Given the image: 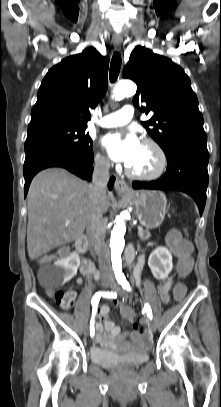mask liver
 <instances>
[{
    "instance_id": "1",
    "label": "liver",
    "mask_w": 221,
    "mask_h": 407,
    "mask_svg": "<svg viewBox=\"0 0 221 407\" xmlns=\"http://www.w3.org/2000/svg\"><path fill=\"white\" fill-rule=\"evenodd\" d=\"M111 197L106 196L103 213ZM27 206V249L32 260L76 240L94 210L90 185L62 168L45 169L33 178Z\"/></svg>"
}]
</instances>
